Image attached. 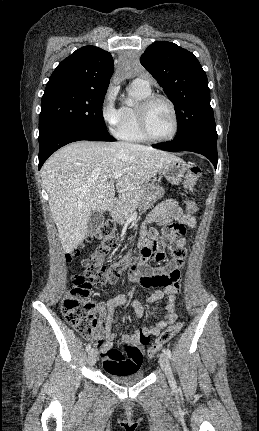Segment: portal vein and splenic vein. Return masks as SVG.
Masks as SVG:
<instances>
[{"label":"portal vein and splenic vein","instance_id":"obj_1","mask_svg":"<svg viewBox=\"0 0 259 431\" xmlns=\"http://www.w3.org/2000/svg\"><path fill=\"white\" fill-rule=\"evenodd\" d=\"M123 171H117L113 174L112 178L113 179H119L122 175H123Z\"/></svg>","mask_w":259,"mask_h":431}]
</instances>
